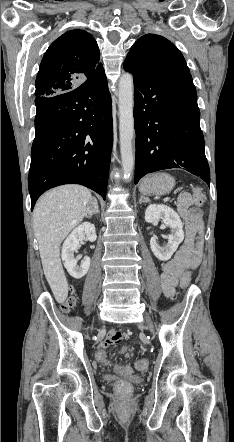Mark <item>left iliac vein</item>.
<instances>
[{
  "label": "left iliac vein",
  "instance_id": "4c4485c4",
  "mask_svg": "<svg viewBox=\"0 0 234 442\" xmlns=\"http://www.w3.org/2000/svg\"><path fill=\"white\" fill-rule=\"evenodd\" d=\"M139 327L140 328H146L144 325H142V324H139Z\"/></svg>",
  "mask_w": 234,
  "mask_h": 442
}]
</instances>
